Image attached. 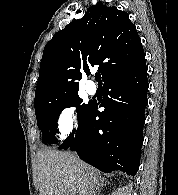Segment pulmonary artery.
<instances>
[{"label":"pulmonary artery","instance_id":"1","mask_svg":"<svg viewBox=\"0 0 178 195\" xmlns=\"http://www.w3.org/2000/svg\"><path fill=\"white\" fill-rule=\"evenodd\" d=\"M86 91L90 95H94L96 93L97 86H96V84L92 80H89L87 82V84H86Z\"/></svg>","mask_w":178,"mask_h":195}]
</instances>
